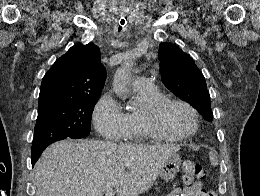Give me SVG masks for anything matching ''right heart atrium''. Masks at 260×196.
<instances>
[{
  "label": "right heart atrium",
  "instance_id": "1",
  "mask_svg": "<svg viewBox=\"0 0 260 196\" xmlns=\"http://www.w3.org/2000/svg\"><path fill=\"white\" fill-rule=\"evenodd\" d=\"M92 120L100 137L92 143H115L117 130L128 128V116L113 97L112 92L102 94L95 103Z\"/></svg>",
  "mask_w": 260,
  "mask_h": 196
}]
</instances>
